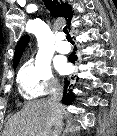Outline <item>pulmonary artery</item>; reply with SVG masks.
<instances>
[{
	"label": "pulmonary artery",
	"mask_w": 117,
	"mask_h": 136,
	"mask_svg": "<svg viewBox=\"0 0 117 136\" xmlns=\"http://www.w3.org/2000/svg\"><path fill=\"white\" fill-rule=\"evenodd\" d=\"M55 49L59 53L66 54L70 51V46L67 42L58 40L55 43Z\"/></svg>",
	"instance_id": "pulmonary-artery-1"
}]
</instances>
